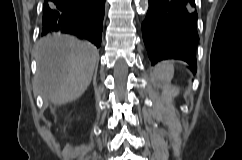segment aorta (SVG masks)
<instances>
[{"label": "aorta", "mask_w": 242, "mask_h": 160, "mask_svg": "<svg viewBox=\"0 0 242 160\" xmlns=\"http://www.w3.org/2000/svg\"><path fill=\"white\" fill-rule=\"evenodd\" d=\"M137 1V6L140 10H144L148 6V0H136Z\"/></svg>", "instance_id": "1"}]
</instances>
